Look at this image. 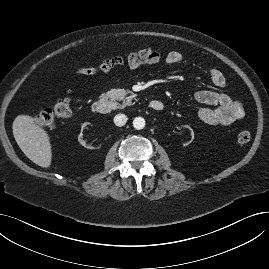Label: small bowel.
Instances as JSON below:
<instances>
[{"mask_svg": "<svg viewBox=\"0 0 269 269\" xmlns=\"http://www.w3.org/2000/svg\"><path fill=\"white\" fill-rule=\"evenodd\" d=\"M163 59L169 65L179 64L183 60L178 51H170L163 56L159 51L147 47L138 51H126L121 56L105 58L98 65L78 68L75 73L79 76H91L97 73L107 74L115 67L137 69L158 64ZM209 77L217 87H223L226 83L224 74L216 68L209 70ZM194 99L205 105L198 111V118L208 125L228 126L241 120L245 115L244 105L223 92L200 90L194 94Z\"/></svg>", "mask_w": 269, "mask_h": 269, "instance_id": "c3829d8e", "label": "small bowel"}]
</instances>
